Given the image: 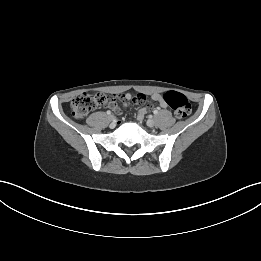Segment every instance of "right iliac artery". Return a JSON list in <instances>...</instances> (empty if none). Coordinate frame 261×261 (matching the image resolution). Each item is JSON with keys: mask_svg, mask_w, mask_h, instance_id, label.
Segmentation results:
<instances>
[{"mask_svg": "<svg viewBox=\"0 0 261 261\" xmlns=\"http://www.w3.org/2000/svg\"><path fill=\"white\" fill-rule=\"evenodd\" d=\"M106 113H107L108 115H110V114H111V111L108 110Z\"/></svg>", "mask_w": 261, "mask_h": 261, "instance_id": "obj_1", "label": "right iliac artery"}]
</instances>
